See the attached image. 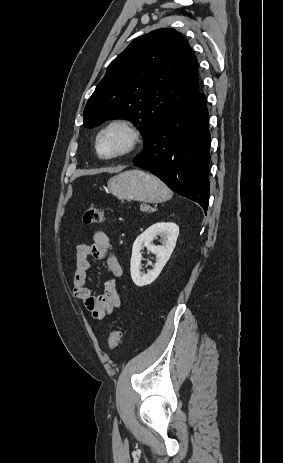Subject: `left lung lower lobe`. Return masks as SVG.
I'll list each match as a JSON object with an SVG mask.
<instances>
[{"mask_svg": "<svg viewBox=\"0 0 283 463\" xmlns=\"http://www.w3.org/2000/svg\"><path fill=\"white\" fill-rule=\"evenodd\" d=\"M204 94L198 92L154 131L133 163L171 190L199 203L205 213L210 186V133Z\"/></svg>", "mask_w": 283, "mask_h": 463, "instance_id": "1", "label": "left lung lower lobe"}]
</instances>
